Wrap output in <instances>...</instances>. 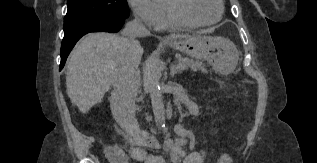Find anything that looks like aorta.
I'll return each mask as SVG.
<instances>
[{"label":"aorta","mask_w":317,"mask_h":163,"mask_svg":"<svg viewBox=\"0 0 317 163\" xmlns=\"http://www.w3.org/2000/svg\"><path fill=\"white\" fill-rule=\"evenodd\" d=\"M160 76L161 72L157 62L153 59H149L145 67V81L150 93L151 104L157 125H163L165 123V109L160 88Z\"/></svg>","instance_id":"aorta-1"}]
</instances>
